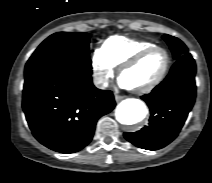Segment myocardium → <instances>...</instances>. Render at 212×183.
I'll return each mask as SVG.
<instances>
[{"instance_id":"f54148a6","label":"myocardium","mask_w":212,"mask_h":183,"mask_svg":"<svg viewBox=\"0 0 212 183\" xmlns=\"http://www.w3.org/2000/svg\"><path fill=\"white\" fill-rule=\"evenodd\" d=\"M156 50H162L166 56L165 65H164L162 71L152 82L148 83L147 85H145L143 87H138V88L129 87L128 89L130 91H132L133 93H136V94L149 93L152 90H154L164 80V78L166 77V75L170 69V66H171V54L166 47L161 46V45H153V46L147 47L145 49H142L141 51H139L138 53L133 55L131 58H129L127 61H125L120 66L119 78L121 79L122 75L124 74L125 71H127L128 69L137 65L148 54H150L151 52L156 51Z\"/></svg>"}]
</instances>
